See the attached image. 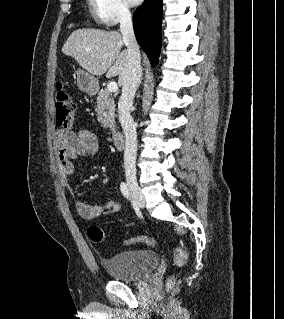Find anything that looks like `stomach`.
Masks as SVG:
<instances>
[{
    "instance_id": "obj_1",
    "label": "stomach",
    "mask_w": 284,
    "mask_h": 319,
    "mask_svg": "<svg viewBox=\"0 0 284 319\" xmlns=\"http://www.w3.org/2000/svg\"><path fill=\"white\" fill-rule=\"evenodd\" d=\"M77 86L85 93H94L98 88V80L91 74L79 70L77 72Z\"/></svg>"
}]
</instances>
